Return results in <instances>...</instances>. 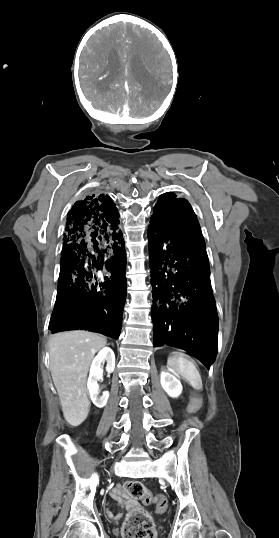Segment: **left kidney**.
I'll use <instances>...</instances> for the list:
<instances>
[{
	"label": "left kidney",
	"instance_id": "1",
	"mask_svg": "<svg viewBox=\"0 0 279 538\" xmlns=\"http://www.w3.org/2000/svg\"><path fill=\"white\" fill-rule=\"evenodd\" d=\"M160 382L163 390L167 392L171 398H178L182 394V386L180 380L173 376L171 370H162L160 374Z\"/></svg>",
	"mask_w": 279,
	"mask_h": 538
}]
</instances>
